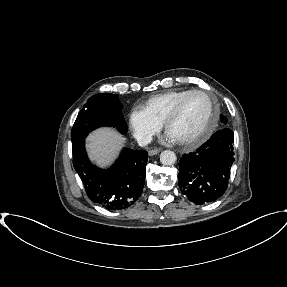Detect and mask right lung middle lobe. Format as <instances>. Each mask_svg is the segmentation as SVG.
<instances>
[{"mask_svg":"<svg viewBox=\"0 0 287 287\" xmlns=\"http://www.w3.org/2000/svg\"><path fill=\"white\" fill-rule=\"evenodd\" d=\"M122 107L116 94L99 93L90 97L73 125L72 147L84 140L89 132L98 127H115L125 134L127 125L121 112Z\"/></svg>","mask_w":287,"mask_h":287,"instance_id":"right-lung-middle-lobe-1","label":"right lung middle lobe"}]
</instances>
